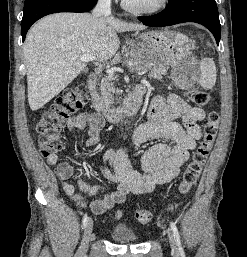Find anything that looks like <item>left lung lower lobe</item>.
<instances>
[{
  "label": "left lung lower lobe",
  "mask_w": 247,
  "mask_h": 257,
  "mask_svg": "<svg viewBox=\"0 0 247 257\" xmlns=\"http://www.w3.org/2000/svg\"><path fill=\"white\" fill-rule=\"evenodd\" d=\"M169 5L153 16L138 17L152 27L170 26L183 22H196L205 26L219 45L221 25L215 0H168Z\"/></svg>",
  "instance_id": "obj_1"
}]
</instances>
